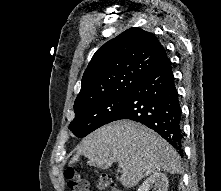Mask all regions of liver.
Segmentation results:
<instances>
[{
	"label": "liver",
	"instance_id": "1",
	"mask_svg": "<svg viewBox=\"0 0 221 191\" xmlns=\"http://www.w3.org/2000/svg\"><path fill=\"white\" fill-rule=\"evenodd\" d=\"M80 156L87 157L89 165L105 169L118 162L120 181L127 188L152 173L180 172V157L174 148L153 130L130 120L116 121L89 134L77 146L71 162Z\"/></svg>",
	"mask_w": 221,
	"mask_h": 191
}]
</instances>
